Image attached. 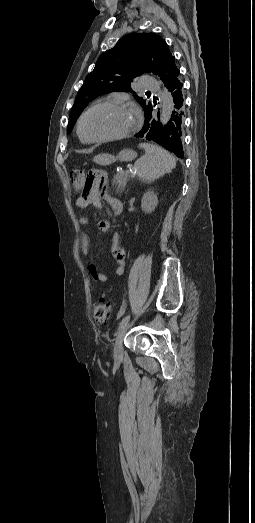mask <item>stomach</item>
<instances>
[{
  "mask_svg": "<svg viewBox=\"0 0 255 523\" xmlns=\"http://www.w3.org/2000/svg\"><path fill=\"white\" fill-rule=\"evenodd\" d=\"M121 162H128L134 158V152L132 150H122L118 156ZM116 159V154L113 151H101L95 155L94 164L101 166L103 162H113Z\"/></svg>",
  "mask_w": 255,
  "mask_h": 523,
  "instance_id": "obj_1",
  "label": "stomach"
}]
</instances>
